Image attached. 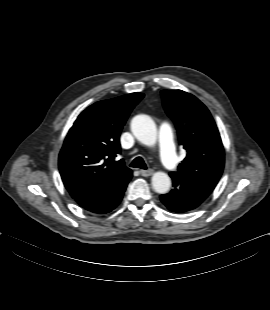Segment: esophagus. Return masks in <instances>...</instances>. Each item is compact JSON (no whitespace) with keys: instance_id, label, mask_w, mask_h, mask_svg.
Listing matches in <instances>:
<instances>
[{"instance_id":"esophagus-1","label":"esophagus","mask_w":270,"mask_h":310,"mask_svg":"<svg viewBox=\"0 0 270 310\" xmlns=\"http://www.w3.org/2000/svg\"><path fill=\"white\" fill-rule=\"evenodd\" d=\"M140 173L142 176L148 177L151 176L154 173V171L152 169H148V170H141Z\"/></svg>"}]
</instances>
